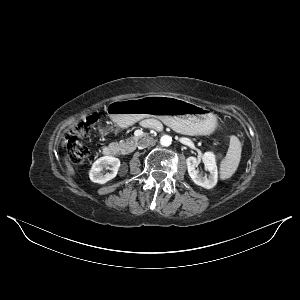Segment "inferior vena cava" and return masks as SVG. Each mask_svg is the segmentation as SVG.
Listing matches in <instances>:
<instances>
[{"instance_id": "1", "label": "inferior vena cava", "mask_w": 300, "mask_h": 300, "mask_svg": "<svg viewBox=\"0 0 300 300\" xmlns=\"http://www.w3.org/2000/svg\"><path fill=\"white\" fill-rule=\"evenodd\" d=\"M154 143V139L150 137H145L139 140L138 142V148L139 149H144Z\"/></svg>"}]
</instances>
